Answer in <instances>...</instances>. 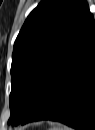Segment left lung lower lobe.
<instances>
[{"label":"left lung lower lobe","mask_w":95,"mask_h":130,"mask_svg":"<svg viewBox=\"0 0 95 130\" xmlns=\"http://www.w3.org/2000/svg\"><path fill=\"white\" fill-rule=\"evenodd\" d=\"M49 119L79 130L95 126V25L91 19L52 68L27 113L14 125Z\"/></svg>","instance_id":"left-lung-lower-lobe-1"}]
</instances>
